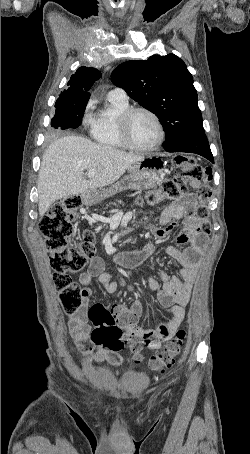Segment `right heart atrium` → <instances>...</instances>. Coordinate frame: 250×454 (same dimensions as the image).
<instances>
[{
	"instance_id": "obj_1",
	"label": "right heart atrium",
	"mask_w": 250,
	"mask_h": 454,
	"mask_svg": "<svg viewBox=\"0 0 250 454\" xmlns=\"http://www.w3.org/2000/svg\"><path fill=\"white\" fill-rule=\"evenodd\" d=\"M85 121H86L87 125H90V117H87Z\"/></svg>"
}]
</instances>
